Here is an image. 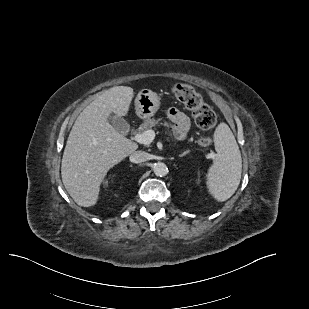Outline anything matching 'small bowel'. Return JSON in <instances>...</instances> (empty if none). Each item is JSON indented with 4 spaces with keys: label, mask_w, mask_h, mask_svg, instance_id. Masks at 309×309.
<instances>
[{
    "label": "small bowel",
    "mask_w": 309,
    "mask_h": 309,
    "mask_svg": "<svg viewBox=\"0 0 309 309\" xmlns=\"http://www.w3.org/2000/svg\"><path fill=\"white\" fill-rule=\"evenodd\" d=\"M168 117L174 123V135L177 139L185 138L189 128V118L180 110L176 108H170L168 110Z\"/></svg>",
    "instance_id": "c3829d8e"
}]
</instances>
